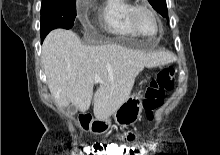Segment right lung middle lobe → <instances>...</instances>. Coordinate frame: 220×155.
I'll return each mask as SVG.
<instances>
[{
	"label": "right lung middle lobe",
	"instance_id": "1",
	"mask_svg": "<svg viewBox=\"0 0 220 155\" xmlns=\"http://www.w3.org/2000/svg\"><path fill=\"white\" fill-rule=\"evenodd\" d=\"M76 0H42L41 41L55 28L70 29L76 17Z\"/></svg>",
	"mask_w": 220,
	"mask_h": 155
}]
</instances>
